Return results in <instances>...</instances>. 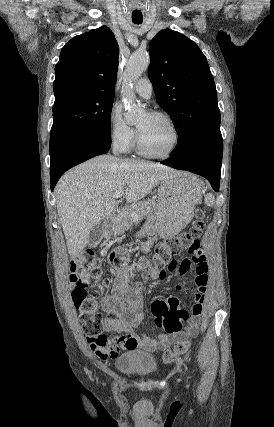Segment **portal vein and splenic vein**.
<instances>
[{
	"mask_svg": "<svg viewBox=\"0 0 274 427\" xmlns=\"http://www.w3.org/2000/svg\"><path fill=\"white\" fill-rule=\"evenodd\" d=\"M122 196H125L124 192H115L112 198H122ZM131 217L132 219H138V214H136V212H132Z\"/></svg>",
	"mask_w": 274,
	"mask_h": 427,
	"instance_id": "obj_1",
	"label": "portal vein and splenic vein"
}]
</instances>
